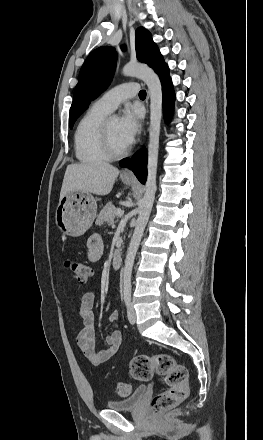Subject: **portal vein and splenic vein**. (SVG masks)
<instances>
[{
    "label": "portal vein and splenic vein",
    "instance_id": "portal-vein-and-splenic-vein-1",
    "mask_svg": "<svg viewBox=\"0 0 263 440\" xmlns=\"http://www.w3.org/2000/svg\"><path fill=\"white\" fill-rule=\"evenodd\" d=\"M121 210L120 209H117L116 211H115V215H121Z\"/></svg>",
    "mask_w": 263,
    "mask_h": 440
}]
</instances>
